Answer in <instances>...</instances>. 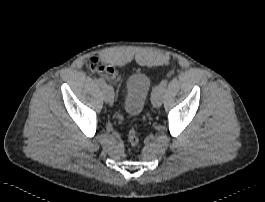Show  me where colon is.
Wrapping results in <instances>:
<instances>
[{"instance_id":"5ec220e1","label":"colon","mask_w":265,"mask_h":202,"mask_svg":"<svg viewBox=\"0 0 265 202\" xmlns=\"http://www.w3.org/2000/svg\"><path fill=\"white\" fill-rule=\"evenodd\" d=\"M107 71L109 73L112 72L111 70H107ZM128 139L132 147H136L139 144V135H138V132L134 128L130 130L128 134Z\"/></svg>"}]
</instances>
